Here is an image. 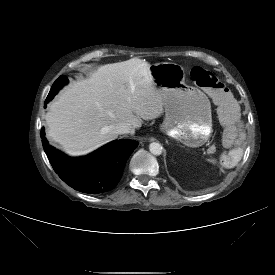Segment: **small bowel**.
<instances>
[{
  "label": "small bowel",
  "mask_w": 275,
  "mask_h": 275,
  "mask_svg": "<svg viewBox=\"0 0 275 275\" xmlns=\"http://www.w3.org/2000/svg\"><path fill=\"white\" fill-rule=\"evenodd\" d=\"M220 122L223 124L225 149L220 153L218 163L224 169H235L246 151V136L240 119V107L237 101L229 98L217 108Z\"/></svg>",
  "instance_id": "obj_1"
}]
</instances>
